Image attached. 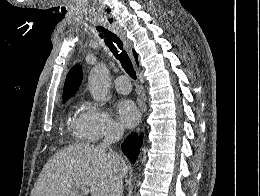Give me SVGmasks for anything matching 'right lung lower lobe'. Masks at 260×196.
I'll return each mask as SVG.
<instances>
[{
    "label": "right lung lower lobe",
    "instance_id": "obj_1",
    "mask_svg": "<svg viewBox=\"0 0 260 196\" xmlns=\"http://www.w3.org/2000/svg\"><path fill=\"white\" fill-rule=\"evenodd\" d=\"M142 135L137 137L135 133L130 134L121 145L123 153L130 159L131 162L135 163L142 145Z\"/></svg>",
    "mask_w": 260,
    "mask_h": 196
}]
</instances>
